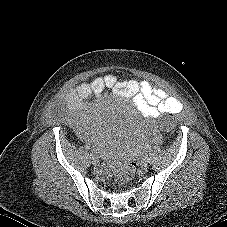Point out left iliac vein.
I'll list each match as a JSON object with an SVG mask.
<instances>
[{"label": "left iliac vein", "mask_w": 227, "mask_h": 227, "mask_svg": "<svg viewBox=\"0 0 227 227\" xmlns=\"http://www.w3.org/2000/svg\"><path fill=\"white\" fill-rule=\"evenodd\" d=\"M149 162H150V156L144 155L142 160H141L142 165L146 166Z\"/></svg>", "instance_id": "obj_1"}]
</instances>
